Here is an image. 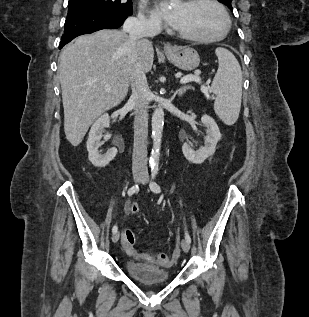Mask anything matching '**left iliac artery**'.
I'll list each match as a JSON object with an SVG mask.
<instances>
[{
    "instance_id": "obj_1",
    "label": "left iliac artery",
    "mask_w": 309,
    "mask_h": 317,
    "mask_svg": "<svg viewBox=\"0 0 309 317\" xmlns=\"http://www.w3.org/2000/svg\"><path fill=\"white\" fill-rule=\"evenodd\" d=\"M158 165H154L152 167V173H151V178H152V181L150 183V189L154 192V193H160L161 192V188L160 186L154 181L156 175L158 174ZM185 239L187 240V242L190 244L191 243V237L190 235L188 234L187 231H185Z\"/></svg>"
}]
</instances>
